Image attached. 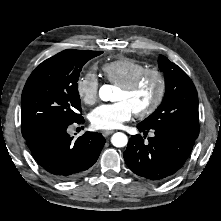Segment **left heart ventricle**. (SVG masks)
I'll return each instance as SVG.
<instances>
[{
    "mask_svg": "<svg viewBox=\"0 0 221 221\" xmlns=\"http://www.w3.org/2000/svg\"><path fill=\"white\" fill-rule=\"evenodd\" d=\"M157 80L154 76L146 77L134 90L117 89L114 100L125 101L134 112L142 110L151 104L157 92Z\"/></svg>",
    "mask_w": 221,
    "mask_h": 221,
    "instance_id": "left-heart-ventricle-1",
    "label": "left heart ventricle"
}]
</instances>
